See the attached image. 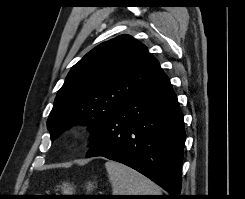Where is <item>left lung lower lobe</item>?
<instances>
[{
    "label": "left lung lower lobe",
    "instance_id": "1",
    "mask_svg": "<svg viewBox=\"0 0 245 199\" xmlns=\"http://www.w3.org/2000/svg\"><path fill=\"white\" fill-rule=\"evenodd\" d=\"M186 134L168 77L152 80L106 120L87 158L103 156L142 173L178 199Z\"/></svg>",
    "mask_w": 245,
    "mask_h": 199
}]
</instances>
